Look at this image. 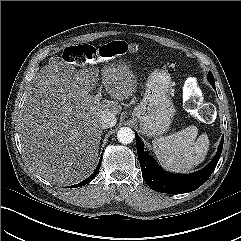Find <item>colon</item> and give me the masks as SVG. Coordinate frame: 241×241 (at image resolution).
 I'll use <instances>...</instances> for the list:
<instances>
[{
	"mask_svg": "<svg viewBox=\"0 0 241 241\" xmlns=\"http://www.w3.org/2000/svg\"><path fill=\"white\" fill-rule=\"evenodd\" d=\"M134 49L133 46L123 41H113L99 47L86 44L66 48L62 58L69 64L84 66L120 56ZM184 105L193 116L206 122L212 121L214 110L212 106L203 103L195 81H190L185 88Z\"/></svg>",
	"mask_w": 241,
	"mask_h": 241,
	"instance_id": "colon-1",
	"label": "colon"
}]
</instances>
